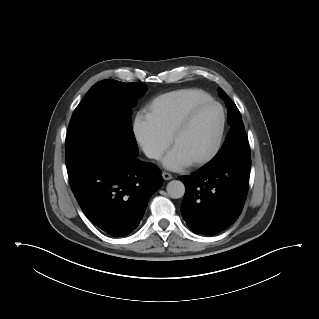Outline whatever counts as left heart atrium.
<instances>
[{"label":"left heart atrium","mask_w":319,"mask_h":319,"mask_svg":"<svg viewBox=\"0 0 319 319\" xmlns=\"http://www.w3.org/2000/svg\"><path fill=\"white\" fill-rule=\"evenodd\" d=\"M163 165L169 170L178 171L189 166L190 162L172 148L164 157Z\"/></svg>","instance_id":"1"}]
</instances>
